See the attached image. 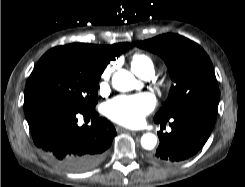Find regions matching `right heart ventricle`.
I'll use <instances>...</instances> for the list:
<instances>
[{"label": "right heart ventricle", "instance_id": "obj_1", "mask_svg": "<svg viewBox=\"0 0 245 187\" xmlns=\"http://www.w3.org/2000/svg\"><path fill=\"white\" fill-rule=\"evenodd\" d=\"M130 66L135 74L143 76L148 70L154 69V61L148 54L137 52L131 56Z\"/></svg>", "mask_w": 245, "mask_h": 187}]
</instances>
